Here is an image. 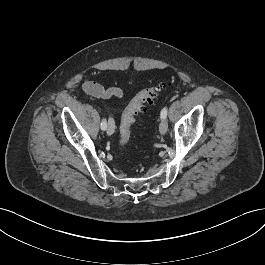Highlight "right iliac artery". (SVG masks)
I'll return each instance as SVG.
<instances>
[{
    "mask_svg": "<svg viewBox=\"0 0 265 265\" xmlns=\"http://www.w3.org/2000/svg\"><path fill=\"white\" fill-rule=\"evenodd\" d=\"M106 128H107V123H106V120L103 119L102 122H101V129L102 130H106Z\"/></svg>",
    "mask_w": 265,
    "mask_h": 265,
    "instance_id": "right-iliac-artery-1",
    "label": "right iliac artery"
}]
</instances>
